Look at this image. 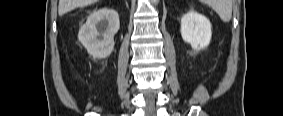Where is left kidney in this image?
<instances>
[{"label":"left kidney","instance_id":"5707ae66","mask_svg":"<svg viewBox=\"0 0 283 116\" xmlns=\"http://www.w3.org/2000/svg\"><path fill=\"white\" fill-rule=\"evenodd\" d=\"M181 36L194 50L205 49L212 37L210 21L194 10L189 11L181 19Z\"/></svg>","mask_w":283,"mask_h":116}]
</instances>
